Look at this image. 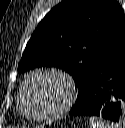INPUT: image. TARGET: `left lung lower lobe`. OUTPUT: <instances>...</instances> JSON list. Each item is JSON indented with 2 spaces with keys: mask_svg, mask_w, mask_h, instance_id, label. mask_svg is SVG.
<instances>
[{
  "mask_svg": "<svg viewBox=\"0 0 125 128\" xmlns=\"http://www.w3.org/2000/svg\"><path fill=\"white\" fill-rule=\"evenodd\" d=\"M69 114L101 116L116 124L125 121V30L95 66Z\"/></svg>",
  "mask_w": 125,
  "mask_h": 128,
  "instance_id": "left-lung-lower-lobe-1",
  "label": "left lung lower lobe"
}]
</instances>
